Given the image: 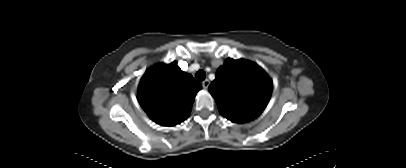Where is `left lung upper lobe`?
I'll list each match as a JSON object with an SVG mask.
<instances>
[{"label":"left lung upper lobe","instance_id":"left-lung-upper-lobe-1","mask_svg":"<svg viewBox=\"0 0 406 168\" xmlns=\"http://www.w3.org/2000/svg\"><path fill=\"white\" fill-rule=\"evenodd\" d=\"M272 89V80L260 66L230 58L217 70L209 86L220 113L236 123L258 117L267 106Z\"/></svg>","mask_w":406,"mask_h":168}]
</instances>
